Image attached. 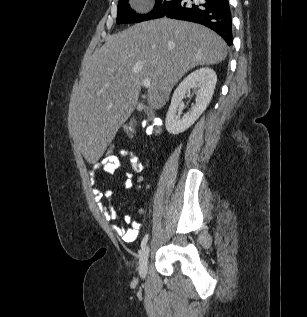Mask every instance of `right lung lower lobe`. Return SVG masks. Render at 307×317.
<instances>
[{"mask_svg":"<svg viewBox=\"0 0 307 317\" xmlns=\"http://www.w3.org/2000/svg\"><path fill=\"white\" fill-rule=\"evenodd\" d=\"M163 16L205 25L218 33L229 46L232 44L228 0H199L195 4H188L186 0H176L160 17Z\"/></svg>","mask_w":307,"mask_h":317,"instance_id":"right-lung-lower-lobe-1","label":"right lung lower lobe"}]
</instances>
